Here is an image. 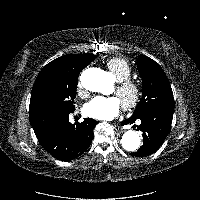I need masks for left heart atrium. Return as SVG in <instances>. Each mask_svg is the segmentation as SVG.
I'll return each mask as SVG.
<instances>
[{
    "instance_id": "39dd6f15",
    "label": "left heart atrium",
    "mask_w": 200,
    "mask_h": 200,
    "mask_svg": "<svg viewBox=\"0 0 200 200\" xmlns=\"http://www.w3.org/2000/svg\"><path fill=\"white\" fill-rule=\"evenodd\" d=\"M121 110V102L117 97H95L85 105V114L97 120H112Z\"/></svg>"
}]
</instances>
